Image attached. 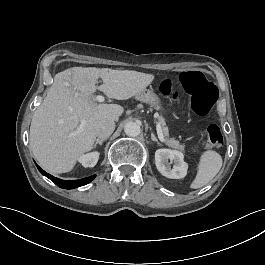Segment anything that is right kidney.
<instances>
[{"label":"right kidney","mask_w":265,"mask_h":265,"mask_svg":"<svg viewBox=\"0 0 265 265\" xmlns=\"http://www.w3.org/2000/svg\"><path fill=\"white\" fill-rule=\"evenodd\" d=\"M99 152H90L86 154L80 155L78 158V161L82 164L83 167L88 168V167H94L99 159Z\"/></svg>","instance_id":"right-kidney-1"}]
</instances>
